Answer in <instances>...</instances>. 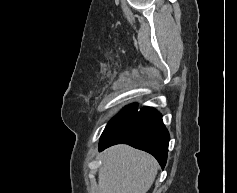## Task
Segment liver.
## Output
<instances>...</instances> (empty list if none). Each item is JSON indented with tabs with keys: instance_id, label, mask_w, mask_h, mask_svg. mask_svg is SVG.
Returning a JSON list of instances; mask_svg holds the SVG:
<instances>
[{
	"instance_id": "1",
	"label": "liver",
	"mask_w": 237,
	"mask_h": 193,
	"mask_svg": "<svg viewBox=\"0 0 237 193\" xmlns=\"http://www.w3.org/2000/svg\"><path fill=\"white\" fill-rule=\"evenodd\" d=\"M99 193H147L159 168L150 154L128 145H116L101 154Z\"/></svg>"
}]
</instances>
